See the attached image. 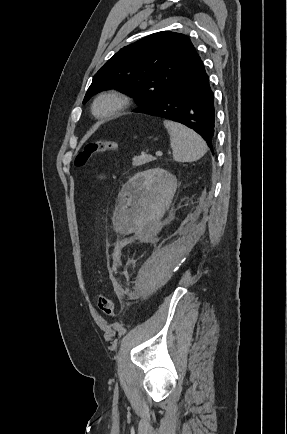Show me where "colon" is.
<instances>
[{"instance_id": "obj_1", "label": "colon", "mask_w": 287, "mask_h": 434, "mask_svg": "<svg viewBox=\"0 0 287 434\" xmlns=\"http://www.w3.org/2000/svg\"><path fill=\"white\" fill-rule=\"evenodd\" d=\"M117 148V142L111 140L91 142L76 156L75 164L83 166L95 155L115 151ZM97 306L104 316L110 318L114 315L115 304L112 298L101 295L97 300Z\"/></svg>"}]
</instances>
